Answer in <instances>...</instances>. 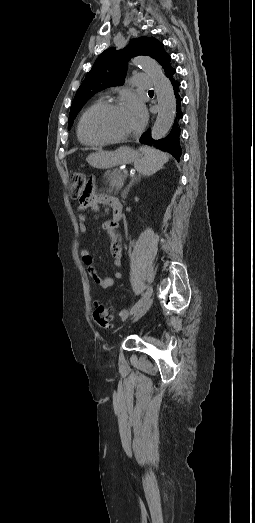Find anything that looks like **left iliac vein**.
<instances>
[{"label":"left iliac vein","mask_w":255,"mask_h":523,"mask_svg":"<svg viewBox=\"0 0 255 523\" xmlns=\"http://www.w3.org/2000/svg\"><path fill=\"white\" fill-rule=\"evenodd\" d=\"M152 288V286L149 287V289ZM153 304V298H149L143 305L142 307L138 310L137 314L135 315L134 319L132 322H135L137 321L138 319H140L144 314H146V312L151 308Z\"/></svg>","instance_id":"obj_1"}]
</instances>
